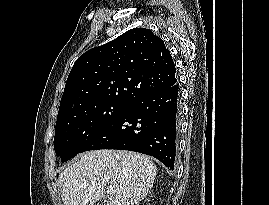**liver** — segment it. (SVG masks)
Wrapping results in <instances>:
<instances>
[{
	"label": "liver",
	"mask_w": 269,
	"mask_h": 205,
	"mask_svg": "<svg viewBox=\"0 0 269 205\" xmlns=\"http://www.w3.org/2000/svg\"><path fill=\"white\" fill-rule=\"evenodd\" d=\"M156 174L152 160L140 153L94 150L64 168L59 182L65 205H94L102 198L104 205H135L151 192Z\"/></svg>",
	"instance_id": "obj_1"
}]
</instances>
